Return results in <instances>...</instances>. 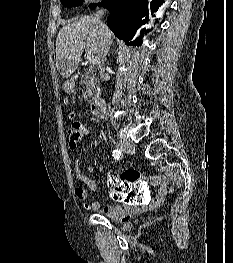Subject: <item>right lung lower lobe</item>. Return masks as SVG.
<instances>
[{"label": "right lung lower lobe", "instance_id": "1", "mask_svg": "<svg viewBox=\"0 0 233 263\" xmlns=\"http://www.w3.org/2000/svg\"><path fill=\"white\" fill-rule=\"evenodd\" d=\"M162 4L163 0H104L99 6L111 12L107 25L119 39L127 45L140 46L141 37L131 41L135 31L148 21L149 12L154 16Z\"/></svg>", "mask_w": 233, "mask_h": 263}]
</instances>
